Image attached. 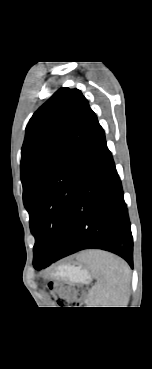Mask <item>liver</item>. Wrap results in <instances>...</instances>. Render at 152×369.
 <instances>
[{"label":"liver","mask_w":152,"mask_h":369,"mask_svg":"<svg viewBox=\"0 0 152 369\" xmlns=\"http://www.w3.org/2000/svg\"><path fill=\"white\" fill-rule=\"evenodd\" d=\"M88 255H89V252H87V253L84 255V257L86 258V257H88Z\"/></svg>","instance_id":"1"}]
</instances>
